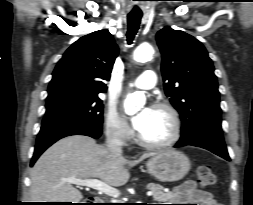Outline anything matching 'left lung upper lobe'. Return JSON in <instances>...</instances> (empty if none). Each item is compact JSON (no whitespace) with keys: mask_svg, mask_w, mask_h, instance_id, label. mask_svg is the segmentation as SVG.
<instances>
[{"mask_svg":"<svg viewBox=\"0 0 253 205\" xmlns=\"http://www.w3.org/2000/svg\"><path fill=\"white\" fill-rule=\"evenodd\" d=\"M162 53L164 89L182 120L181 141L198 132L221 130V108L214 67L205 47L193 36L166 27L156 35Z\"/></svg>","mask_w":253,"mask_h":205,"instance_id":"5c2ea615","label":"left lung upper lobe"}]
</instances>
